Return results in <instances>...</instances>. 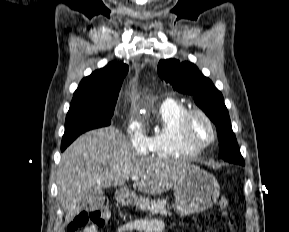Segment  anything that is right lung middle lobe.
<instances>
[{
  "label": "right lung middle lobe",
  "instance_id": "1",
  "mask_svg": "<svg viewBox=\"0 0 289 232\" xmlns=\"http://www.w3.org/2000/svg\"><path fill=\"white\" fill-rule=\"evenodd\" d=\"M117 98L111 96L73 99L66 117L61 149H65L85 131L110 125Z\"/></svg>",
  "mask_w": 289,
  "mask_h": 232
}]
</instances>
